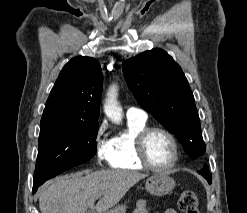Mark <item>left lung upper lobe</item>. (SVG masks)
<instances>
[{
  "label": "left lung upper lobe",
  "instance_id": "obj_1",
  "mask_svg": "<svg viewBox=\"0 0 247 213\" xmlns=\"http://www.w3.org/2000/svg\"><path fill=\"white\" fill-rule=\"evenodd\" d=\"M122 69L139 105L175 135L187 154L202 156L205 144L194 96L173 58L153 49L126 60Z\"/></svg>",
  "mask_w": 247,
  "mask_h": 213
}]
</instances>
